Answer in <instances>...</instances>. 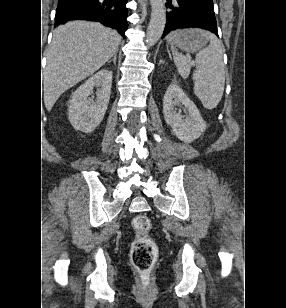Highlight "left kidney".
<instances>
[{
	"instance_id": "1",
	"label": "left kidney",
	"mask_w": 286,
	"mask_h": 308,
	"mask_svg": "<svg viewBox=\"0 0 286 308\" xmlns=\"http://www.w3.org/2000/svg\"><path fill=\"white\" fill-rule=\"evenodd\" d=\"M178 103H182L188 111L189 116L186 119H183L182 115L175 111V106ZM163 114L174 135L185 143L193 142L206 129V123L198 108L176 83H171L164 95Z\"/></svg>"
}]
</instances>
